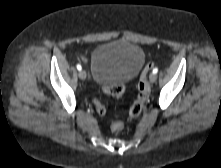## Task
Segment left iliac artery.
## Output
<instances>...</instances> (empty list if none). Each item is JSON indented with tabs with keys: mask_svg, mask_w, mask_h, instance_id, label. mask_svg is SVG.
Masks as SVG:
<instances>
[{
	"mask_svg": "<svg viewBox=\"0 0 221 168\" xmlns=\"http://www.w3.org/2000/svg\"><path fill=\"white\" fill-rule=\"evenodd\" d=\"M157 72H158V68H154V69H153V73L156 74Z\"/></svg>",
	"mask_w": 221,
	"mask_h": 168,
	"instance_id": "obj_1",
	"label": "left iliac artery"
}]
</instances>
